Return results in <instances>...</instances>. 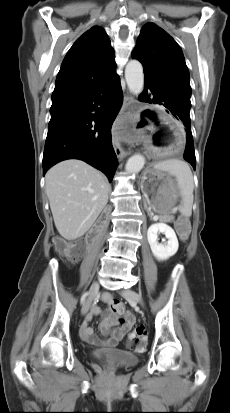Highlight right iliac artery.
<instances>
[{"instance_id":"right-iliac-artery-1","label":"right iliac artery","mask_w":230,"mask_h":413,"mask_svg":"<svg viewBox=\"0 0 230 413\" xmlns=\"http://www.w3.org/2000/svg\"><path fill=\"white\" fill-rule=\"evenodd\" d=\"M88 295V293H84L81 297V304L84 303L86 296Z\"/></svg>"}]
</instances>
